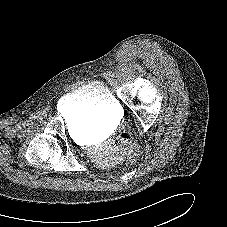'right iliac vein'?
Segmentation results:
<instances>
[{"label": "right iliac vein", "mask_w": 227, "mask_h": 227, "mask_svg": "<svg viewBox=\"0 0 227 227\" xmlns=\"http://www.w3.org/2000/svg\"><path fill=\"white\" fill-rule=\"evenodd\" d=\"M37 118L38 119H43L44 118V114L43 113H38Z\"/></svg>", "instance_id": "63e3f726"}]
</instances>
